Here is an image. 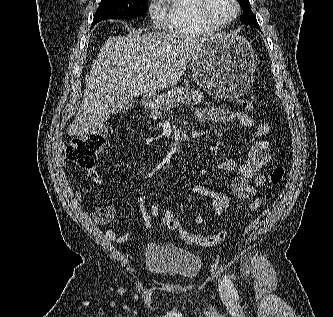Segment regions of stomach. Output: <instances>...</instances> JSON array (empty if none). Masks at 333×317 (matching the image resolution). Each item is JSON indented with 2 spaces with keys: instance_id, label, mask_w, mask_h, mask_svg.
Wrapping results in <instances>:
<instances>
[{
  "instance_id": "0dacf381",
  "label": "stomach",
  "mask_w": 333,
  "mask_h": 317,
  "mask_svg": "<svg viewBox=\"0 0 333 317\" xmlns=\"http://www.w3.org/2000/svg\"><path fill=\"white\" fill-rule=\"evenodd\" d=\"M195 82L207 94L237 98L252 87L255 56L250 43L235 34H218L207 40L192 60Z\"/></svg>"
}]
</instances>
